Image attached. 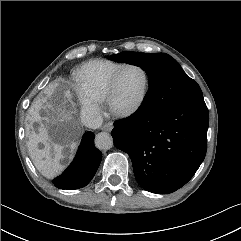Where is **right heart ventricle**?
<instances>
[{"instance_id":"right-heart-ventricle-1","label":"right heart ventricle","mask_w":241,"mask_h":241,"mask_svg":"<svg viewBox=\"0 0 241 241\" xmlns=\"http://www.w3.org/2000/svg\"><path fill=\"white\" fill-rule=\"evenodd\" d=\"M124 64L113 61H93L82 65L77 71L79 88L94 100L103 101L112 76Z\"/></svg>"}]
</instances>
